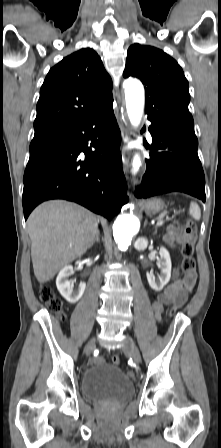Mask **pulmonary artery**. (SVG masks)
Masks as SVG:
<instances>
[{
  "mask_svg": "<svg viewBox=\"0 0 221 448\" xmlns=\"http://www.w3.org/2000/svg\"><path fill=\"white\" fill-rule=\"evenodd\" d=\"M148 137H149V138H151V135H150V133H149V132H148Z\"/></svg>",
  "mask_w": 221,
  "mask_h": 448,
  "instance_id": "e3ab8cb5",
  "label": "pulmonary artery"
}]
</instances>
